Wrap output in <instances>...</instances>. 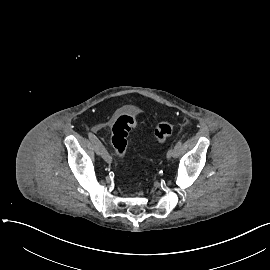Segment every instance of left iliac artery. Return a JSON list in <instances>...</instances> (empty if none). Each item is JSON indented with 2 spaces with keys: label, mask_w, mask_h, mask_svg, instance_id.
<instances>
[{
  "label": "left iliac artery",
  "mask_w": 270,
  "mask_h": 270,
  "mask_svg": "<svg viewBox=\"0 0 270 270\" xmlns=\"http://www.w3.org/2000/svg\"><path fill=\"white\" fill-rule=\"evenodd\" d=\"M182 148V139H179L174 147V156L173 157H178Z\"/></svg>",
  "instance_id": "44dca946"
}]
</instances>
